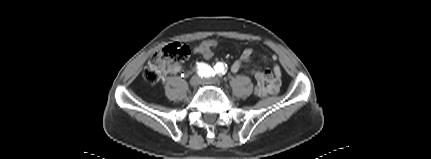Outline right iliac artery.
Returning a JSON list of instances; mask_svg holds the SVG:
<instances>
[{"label": "right iliac artery", "mask_w": 431, "mask_h": 159, "mask_svg": "<svg viewBox=\"0 0 431 159\" xmlns=\"http://www.w3.org/2000/svg\"><path fill=\"white\" fill-rule=\"evenodd\" d=\"M197 69H198L197 73L201 77H209L213 75V69L205 63L198 64Z\"/></svg>", "instance_id": "obj_1"}]
</instances>
